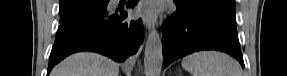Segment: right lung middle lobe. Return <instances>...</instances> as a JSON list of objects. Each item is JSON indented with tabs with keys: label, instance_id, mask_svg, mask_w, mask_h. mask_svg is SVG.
Wrapping results in <instances>:
<instances>
[{
	"label": "right lung middle lobe",
	"instance_id": "obj_1",
	"mask_svg": "<svg viewBox=\"0 0 287 76\" xmlns=\"http://www.w3.org/2000/svg\"><path fill=\"white\" fill-rule=\"evenodd\" d=\"M105 0H60V21L68 22L83 14L99 9Z\"/></svg>",
	"mask_w": 287,
	"mask_h": 76
}]
</instances>
